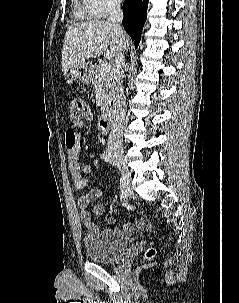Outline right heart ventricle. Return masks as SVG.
I'll use <instances>...</instances> for the list:
<instances>
[{
  "label": "right heart ventricle",
  "mask_w": 239,
  "mask_h": 303,
  "mask_svg": "<svg viewBox=\"0 0 239 303\" xmlns=\"http://www.w3.org/2000/svg\"><path fill=\"white\" fill-rule=\"evenodd\" d=\"M74 2H75L76 14L79 17L86 18L88 14H87L86 9L84 8L83 4L82 5L78 4L77 0H74Z\"/></svg>",
  "instance_id": "obj_1"
}]
</instances>
